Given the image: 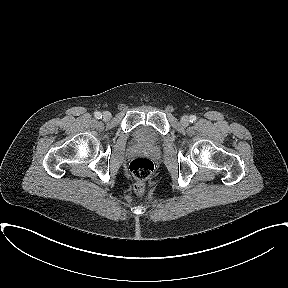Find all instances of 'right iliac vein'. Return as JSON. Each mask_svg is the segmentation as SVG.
Here are the masks:
<instances>
[{"label":"right iliac vein","instance_id":"right-iliac-vein-1","mask_svg":"<svg viewBox=\"0 0 288 288\" xmlns=\"http://www.w3.org/2000/svg\"><path fill=\"white\" fill-rule=\"evenodd\" d=\"M110 119H111V113L108 112V111H105V112L103 113V120L108 121V120H110Z\"/></svg>","mask_w":288,"mask_h":288}]
</instances>
